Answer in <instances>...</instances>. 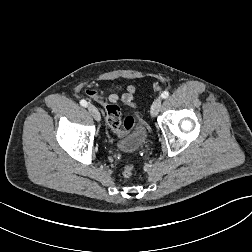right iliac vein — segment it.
Returning a JSON list of instances; mask_svg holds the SVG:
<instances>
[{
	"label": "right iliac vein",
	"mask_w": 252,
	"mask_h": 252,
	"mask_svg": "<svg viewBox=\"0 0 252 252\" xmlns=\"http://www.w3.org/2000/svg\"><path fill=\"white\" fill-rule=\"evenodd\" d=\"M88 110H89L90 114L93 116V118L97 122H99L101 117H100V113H99L98 109L93 105H88Z\"/></svg>",
	"instance_id": "1"
}]
</instances>
